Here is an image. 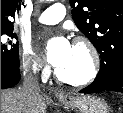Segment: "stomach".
I'll use <instances>...</instances> for the list:
<instances>
[{"mask_svg": "<svg viewBox=\"0 0 123 113\" xmlns=\"http://www.w3.org/2000/svg\"><path fill=\"white\" fill-rule=\"evenodd\" d=\"M57 99L65 106L80 113H108L107 103L95 96L58 95Z\"/></svg>", "mask_w": 123, "mask_h": 113, "instance_id": "stomach-1", "label": "stomach"}]
</instances>
